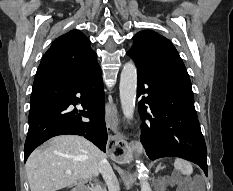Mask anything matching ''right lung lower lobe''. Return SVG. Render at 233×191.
<instances>
[{
    "label": "right lung lower lobe",
    "mask_w": 233,
    "mask_h": 191,
    "mask_svg": "<svg viewBox=\"0 0 233 191\" xmlns=\"http://www.w3.org/2000/svg\"><path fill=\"white\" fill-rule=\"evenodd\" d=\"M77 95H81L80 98ZM30 102L24 161L41 143L62 134L84 136L105 152V99L99 65L77 79L46 78L35 81ZM79 102L87 111H71L68 108ZM84 117L90 122L83 121Z\"/></svg>",
    "instance_id": "right-lung-lower-lobe-1"
}]
</instances>
